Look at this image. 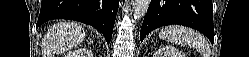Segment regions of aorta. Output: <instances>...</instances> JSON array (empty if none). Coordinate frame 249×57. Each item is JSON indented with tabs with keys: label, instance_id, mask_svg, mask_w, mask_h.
Returning a JSON list of instances; mask_svg holds the SVG:
<instances>
[{
	"label": "aorta",
	"instance_id": "762f6f07",
	"mask_svg": "<svg viewBox=\"0 0 249 57\" xmlns=\"http://www.w3.org/2000/svg\"><path fill=\"white\" fill-rule=\"evenodd\" d=\"M151 0H134L133 4V17L139 21L142 19L149 8Z\"/></svg>",
	"mask_w": 249,
	"mask_h": 57
}]
</instances>
